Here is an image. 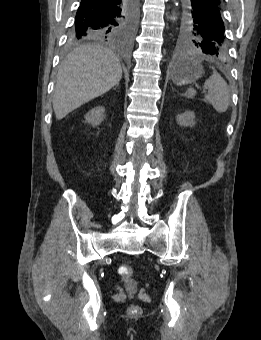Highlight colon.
Returning <instances> with one entry per match:
<instances>
[{"mask_svg":"<svg viewBox=\"0 0 261 340\" xmlns=\"http://www.w3.org/2000/svg\"><path fill=\"white\" fill-rule=\"evenodd\" d=\"M118 273L121 276L122 280L125 281L128 284L132 283V278L134 275V270L130 265H121L118 268ZM128 312L130 314H139L141 312L140 306L133 304L130 305L128 308Z\"/></svg>","mask_w":261,"mask_h":340,"instance_id":"5ec220e1","label":"colon"}]
</instances>
